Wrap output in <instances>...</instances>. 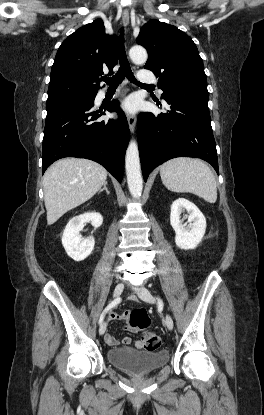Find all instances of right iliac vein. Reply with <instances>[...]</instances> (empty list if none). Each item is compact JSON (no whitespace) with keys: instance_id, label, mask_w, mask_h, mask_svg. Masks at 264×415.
Segmentation results:
<instances>
[{"instance_id":"obj_1","label":"right iliac vein","mask_w":264,"mask_h":415,"mask_svg":"<svg viewBox=\"0 0 264 415\" xmlns=\"http://www.w3.org/2000/svg\"><path fill=\"white\" fill-rule=\"evenodd\" d=\"M123 290H124V284L123 283L117 284L114 290V297H119L122 294ZM106 327H107V323L103 322L99 328L100 335H103L105 333Z\"/></svg>"}]
</instances>
